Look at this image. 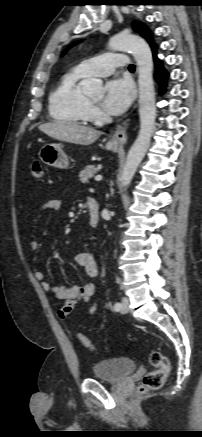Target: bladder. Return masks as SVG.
Segmentation results:
<instances>
[{
  "label": "bladder",
  "instance_id": "1",
  "mask_svg": "<svg viewBox=\"0 0 202 437\" xmlns=\"http://www.w3.org/2000/svg\"><path fill=\"white\" fill-rule=\"evenodd\" d=\"M136 362L128 357H118L97 362L92 367L96 379L116 383L136 370Z\"/></svg>",
  "mask_w": 202,
  "mask_h": 437
}]
</instances>
